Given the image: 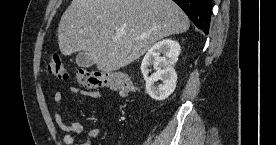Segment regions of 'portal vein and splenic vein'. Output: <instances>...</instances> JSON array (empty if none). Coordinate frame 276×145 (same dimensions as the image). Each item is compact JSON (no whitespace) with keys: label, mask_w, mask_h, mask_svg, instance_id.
<instances>
[{"label":"portal vein and splenic vein","mask_w":276,"mask_h":145,"mask_svg":"<svg viewBox=\"0 0 276 145\" xmlns=\"http://www.w3.org/2000/svg\"><path fill=\"white\" fill-rule=\"evenodd\" d=\"M117 36H122L123 35V32L122 31H117Z\"/></svg>","instance_id":"1"}]
</instances>
